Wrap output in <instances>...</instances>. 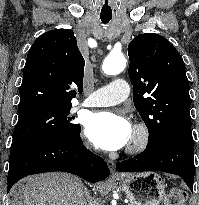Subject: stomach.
<instances>
[{"mask_svg":"<svg viewBox=\"0 0 199 205\" xmlns=\"http://www.w3.org/2000/svg\"><path fill=\"white\" fill-rule=\"evenodd\" d=\"M119 184L131 205H159L165 196V183L155 172L127 174Z\"/></svg>","mask_w":199,"mask_h":205,"instance_id":"0dacf381","label":"stomach"}]
</instances>
